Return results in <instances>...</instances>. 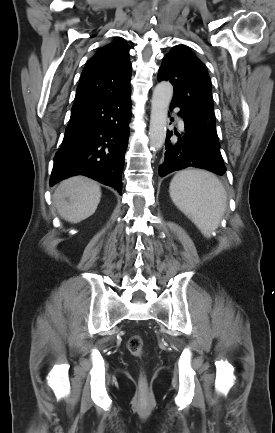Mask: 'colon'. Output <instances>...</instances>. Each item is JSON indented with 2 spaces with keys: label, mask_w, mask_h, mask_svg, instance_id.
<instances>
[{
  "label": "colon",
  "mask_w": 275,
  "mask_h": 433,
  "mask_svg": "<svg viewBox=\"0 0 275 433\" xmlns=\"http://www.w3.org/2000/svg\"><path fill=\"white\" fill-rule=\"evenodd\" d=\"M128 350L129 352L138 358H141L144 355V345L142 342V339L140 338V336L138 335H133L129 340H128ZM140 387L142 390L145 389L146 387V378L143 374L140 375Z\"/></svg>",
  "instance_id": "colon-1"
}]
</instances>
